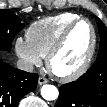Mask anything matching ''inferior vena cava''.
<instances>
[{"label":"inferior vena cava","instance_id":"obj_1","mask_svg":"<svg viewBox=\"0 0 107 107\" xmlns=\"http://www.w3.org/2000/svg\"><path fill=\"white\" fill-rule=\"evenodd\" d=\"M17 68L26 72H32L33 71V64H31L30 62L23 60V59H19L17 61Z\"/></svg>","mask_w":107,"mask_h":107}]
</instances>
